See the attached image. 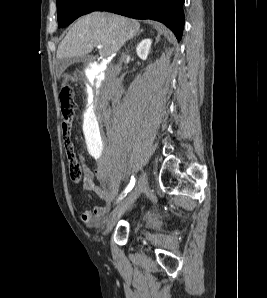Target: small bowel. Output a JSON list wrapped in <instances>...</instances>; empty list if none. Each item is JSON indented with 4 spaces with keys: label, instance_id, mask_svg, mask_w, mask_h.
Masks as SVG:
<instances>
[{
    "label": "small bowel",
    "instance_id": "c3829d8e",
    "mask_svg": "<svg viewBox=\"0 0 267 298\" xmlns=\"http://www.w3.org/2000/svg\"><path fill=\"white\" fill-rule=\"evenodd\" d=\"M98 171H92L84 166L83 188L86 191L94 192L104 201V204L95 206L92 210L85 209L80 213L81 220L90 226H99L107 215L112 200L114 199L118 185L111 186L108 190L103 189L95 182V174Z\"/></svg>",
    "mask_w": 267,
    "mask_h": 298
}]
</instances>
